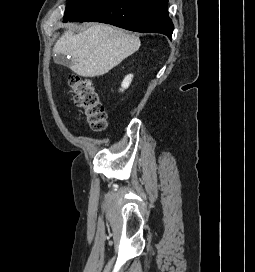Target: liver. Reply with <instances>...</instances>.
<instances>
[{"mask_svg":"<svg viewBox=\"0 0 255 272\" xmlns=\"http://www.w3.org/2000/svg\"><path fill=\"white\" fill-rule=\"evenodd\" d=\"M140 47L139 37L106 24H92L75 34L72 29L55 43L53 51L70 56V69L82 77L108 73Z\"/></svg>","mask_w":255,"mask_h":272,"instance_id":"liver-1","label":"liver"}]
</instances>
